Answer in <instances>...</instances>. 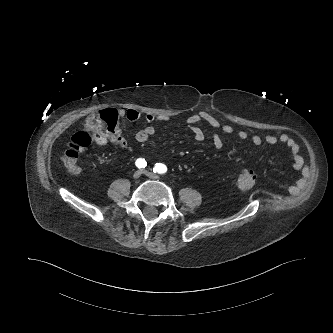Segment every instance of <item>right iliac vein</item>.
<instances>
[{"label": "right iliac vein", "mask_w": 333, "mask_h": 333, "mask_svg": "<svg viewBox=\"0 0 333 333\" xmlns=\"http://www.w3.org/2000/svg\"><path fill=\"white\" fill-rule=\"evenodd\" d=\"M141 175H142V172L140 170H138L133 174V178L139 179L141 177Z\"/></svg>", "instance_id": "right-iliac-vein-1"}]
</instances>
